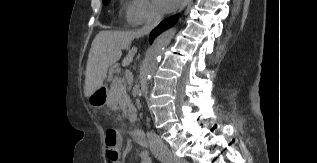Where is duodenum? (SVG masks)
<instances>
[{"instance_id": "obj_1", "label": "duodenum", "mask_w": 317, "mask_h": 163, "mask_svg": "<svg viewBox=\"0 0 317 163\" xmlns=\"http://www.w3.org/2000/svg\"><path fill=\"white\" fill-rule=\"evenodd\" d=\"M132 137L135 140V142H137L139 145L141 146L147 145L145 133L142 130L140 129L134 130L132 133Z\"/></svg>"}]
</instances>
